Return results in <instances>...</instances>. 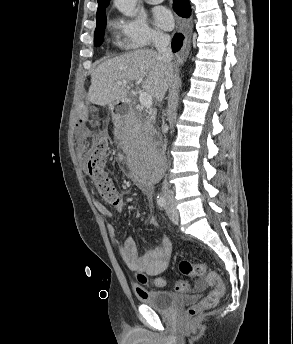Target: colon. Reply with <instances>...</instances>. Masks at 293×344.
I'll return each mask as SVG.
<instances>
[{"mask_svg": "<svg viewBox=\"0 0 293 344\" xmlns=\"http://www.w3.org/2000/svg\"><path fill=\"white\" fill-rule=\"evenodd\" d=\"M82 128V127H79ZM109 150V141L102 137L99 138L93 145L86 160V167L91 181L96 186L101 197L114 205L120 201V195L117 191L112 179L109 177L106 170L107 154ZM179 270L183 275L201 278L206 275V266L203 263L192 264L189 261H181L179 263ZM138 280L143 283L146 277L138 273ZM207 279L216 284L215 288L200 302L188 308L187 315L189 318L197 317L201 312L215 307L218 301L225 294L226 288L220 277L216 273H208ZM156 284L163 286L164 280L157 279ZM182 283L178 284L181 287Z\"/></svg>", "mask_w": 293, "mask_h": 344, "instance_id": "colon-1", "label": "colon"}]
</instances>
